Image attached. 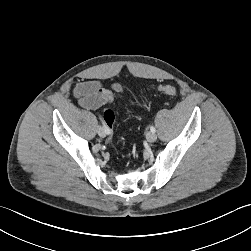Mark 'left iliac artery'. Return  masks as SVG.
Here are the masks:
<instances>
[{"mask_svg": "<svg viewBox=\"0 0 251 251\" xmlns=\"http://www.w3.org/2000/svg\"><path fill=\"white\" fill-rule=\"evenodd\" d=\"M150 130H151V132H153V133H155V132H156V129H155V127H154V126H151V127H150Z\"/></svg>", "mask_w": 251, "mask_h": 251, "instance_id": "left-iliac-artery-1", "label": "left iliac artery"}]
</instances>
